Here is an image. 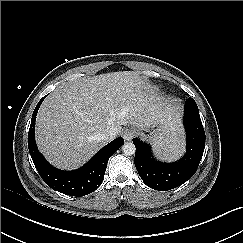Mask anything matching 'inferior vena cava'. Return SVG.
I'll return each mask as SVG.
<instances>
[{
    "label": "inferior vena cava",
    "instance_id": "obj_1",
    "mask_svg": "<svg viewBox=\"0 0 243 243\" xmlns=\"http://www.w3.org/2000/svg\"><path fill=\"white\" fill-rule=\"evenodd\" d=\"M117 136V131L115 128H111L107 133L102 135V139L105 141H111Z\"/></svg>",
    "mask_w": 243,
    "mask_h": 243
}]
</instances>
